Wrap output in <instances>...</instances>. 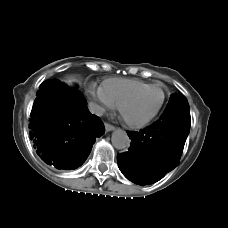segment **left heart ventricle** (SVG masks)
<instances>
[{"mask_svg": "<svg viewBox=\"0 0 228 228\" xmlns=\"http://www.w3.org/2000/svg\"><path fill=\"white\" fill-rule=\"evenodd\" d=\"M161 98L159 90H148L128 102L123 108V113L129 120L140 121L154 112Z\"/></svg>", "mask_w": 228, "mask_h": 228, "instance_id": "1", "label": "left heart ventricle"}]
</instances>
